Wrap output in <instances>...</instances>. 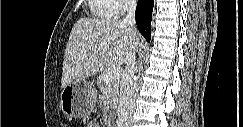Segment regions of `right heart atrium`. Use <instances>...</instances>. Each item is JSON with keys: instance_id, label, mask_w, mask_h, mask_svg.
Listing matches in <instances>:
<instances>
[{"instance_id": "right-heart-atrium-1", "label": "right heart atrium", "mask_w": 243, "mask_h": 127, "mask_svg": "<svg viewBox=\"0 0 243 127\" xmlns=\"http://www.w3.org/2000/svg\"><path fill=\"white\" fill-rule=\"evenodd\" d=\"M112 2L115 4L114 15H123L133 6L132 0H112Z\"/></svg>"}]
</instances>
